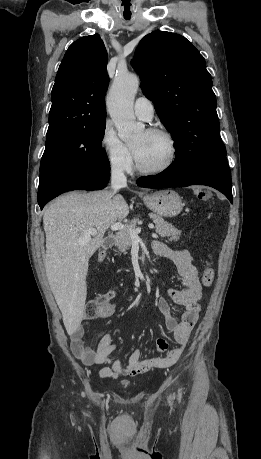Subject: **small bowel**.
Wrapping results in <instances>:
<instances>
[{
  "label": "small bowel",
  "instance_id": "small-bowel-1",
  "mask_svg": "<svg viewBox=\"0 0 261 459\" xmlns=\"http://www.w3.org/2000/svg\"><path fill=\"white\" fill-rule=\"evenodd\" d=\"M156 254L169 258L177 267L179 275L182 277L181 288H171L167 290L168 298L177 305L184 307V312L179 320L171 314V308L164 297L157 301L160 312L165 317L168 330L171 332L176 345L169 349L168 343L164 339L157 340V355L144 358L139 349L135 350L126 363L112 357L116 344L110 333L99 337L95 347L86 345L83 340L84 328L80 324H75L67 329L71 340V350L73 354L85 365H102L99 374L102 378L116 379L120 376H134L146 372L147 370L158 367L165 368L174 365L183 355L191 332L198 320L199 304L198 301L202 294V288L198 276V270L193 264V256L187 250H174L166 244L156 241L153 243ZM105 257V253H100ZM112 294L111 301L117 292L109 291ZM101 309L98 317H109L113 314L115 307L112 302Z\"/></svg>",
  "mask_w": 261,
  "mask_h": 459
}]
</instances>
